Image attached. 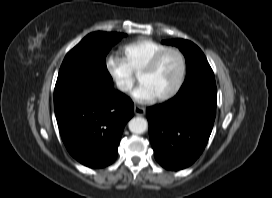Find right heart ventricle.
<instances>
[{"label": "right heart ventricle", "mask_w": 272, "mask_h": 198, "mask_svg": "<svg viewBox=\"0 0 272 198\" xmlns=\"http://www.w3.org/2000/svg\"><path fill=\"white\" fill-rule=\"evenodd\" d=\"M168 48L167 45L150 38H140L122 47L124 60L133 73L139 74L149 60L159 51Z\"/></svg>", "instance_id": "obj_1"}]
</instances>
